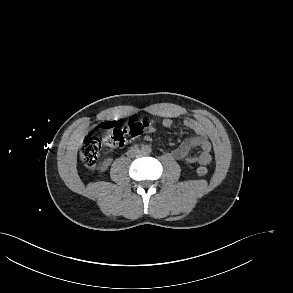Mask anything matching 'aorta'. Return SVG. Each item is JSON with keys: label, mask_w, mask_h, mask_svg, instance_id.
<instances>
[{"label": "aorta", "mask_w": 293, "mask_h": 293, "mask_svg": "<svg viewBox=\"0 0 293 293\" xmlns=\"http://www.w3.org/2000/svg\"><path fill=\"white\" fill-rule=\"evenodd\" d=\"M141 153L143 155H148L151 153V147L149 145H143L141 148Z\"/></svg>", "instance_id": "aorta-1"}]
</instances>
